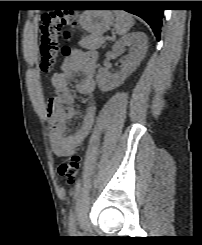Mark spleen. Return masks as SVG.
Instances as JSON below:
<instances>
[{"instance_id":"obj_1","label":"spleen","mask_w":202,"mask_h":245,"mask_svg":"<svg viewBox=\"0 0 202 245\" xmlns=\"http://www.w3.org/2000/svg\"><path fill=\"white\" fill-rule=\"evenodd\" d=\"M116 16L115 29L116 33L120 36L126 35L130 28L134 25L135 21L130 14L125 11H114Z\"/></svg>"}]
</instances>
